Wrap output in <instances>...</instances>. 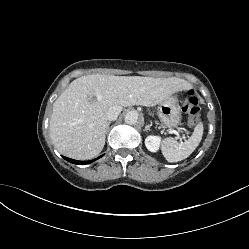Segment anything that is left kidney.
Instances as JSON below:
<instances>
[{
  "label": "left kidney",
  "instance_id": "obj_1",
  "mask_svg": "<svg viewBox=\"0 0 249 249\" xmlns=\"http://www.w3.org/2000/svg\"><path fill=\"white\" fill-rule=\"evenodd\" d=\"M161 138L158 136L149 135L145 139V145L151 152H157L160 148Z\"/></svg>",
  "mask_w": 249,
  "mask_h": 249
}]
</instances>
